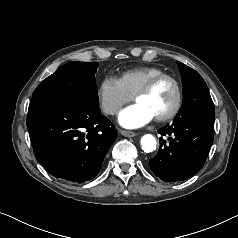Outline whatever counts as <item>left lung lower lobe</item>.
I'll use <instances>...</instances> for the list:
<instances>
[{"label":"left lung lower lobe","instance_id":"obj_1","mask_svg":"<svg viewBox=\"0 0 238 238\" xmlns=\"http://www.w3.org/2000/svg\"><path fill=\"white\" fill-rule=\"evenodd\" d=\"M162 140L149 161L153 173L165 182L185 180L201 170L214 138V117L175 118L158 130Z\"/></svg>","mask_w":238,"mask_h":238}]
</instances>
